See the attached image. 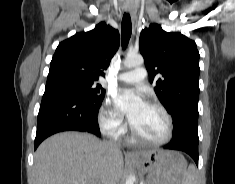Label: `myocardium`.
Segmentation results:
<instances>
[{
  "mask_svg": "<svg viewBox=\"0 0 235 184\" xmlns=\"http://www.w3.org/2000/svg\"><path fill=\"white\" fill-rule=\"evenodd\" d=\"M148 106L160 110L163 113V115L165 116V118L167 120V125H168L166 135L162 139L152 140V139H148V138H144V137L140 136L135 131V129L132 127L131 128L132 137L134 138V140H136L140 143H143V144L150 145V146L160 147V146L166 145L167 143H169L171 141V139L173 138V135H174L173 117L170 114V112L167 110V108L158 102H150L148 104Z\"/></svg>",
  "mask_w": 235,
  "mask_h": 184,
  "instance_id": "obj_1",
  "label": "myocardium"
}]
</instances>
